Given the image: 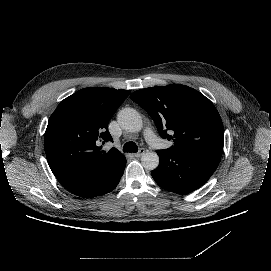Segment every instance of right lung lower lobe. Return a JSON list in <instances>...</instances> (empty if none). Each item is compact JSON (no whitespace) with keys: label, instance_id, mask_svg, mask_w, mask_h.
I'll return each instance as SVG.
<instances>
[{"label":"right lung lower lobe","instance_id":"right-lung-lower-lobe-1","mask_svg":"<svg viewBox=\"0 0 271 271\" xmlns=\"http://www.w3.org/2000/svg\"><path fill=\"white\" fill-rule=\"evenodd\" d=\"M124 168H125V165L107 184L100 186V188L94 191H89V192H79V193H76L75 195L79 197H83V198H92V197L104 195L112 191L119 183L123 175Z\"/></svg>","mask_w":271,"mask_h":271}]
</instances>
